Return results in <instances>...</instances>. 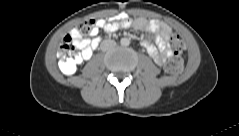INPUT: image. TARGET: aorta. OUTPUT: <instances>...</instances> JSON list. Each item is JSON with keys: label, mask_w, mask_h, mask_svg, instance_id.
<instances>
[{"label": "aorta", "mask_w": 239, "mask_h": 136, "mask_svg": "<svg viewBox=\"0 0 239 136\" xmlns=\"http://www.w3.org/2000/svg\"><path fill=\"white\" fill-rule=\"evenodd\" d=\"M120 43L123 46H128L130 44V40L128 38H122Z\"/></svg>", "instance_id": "762f6f07"}]
</instances>
